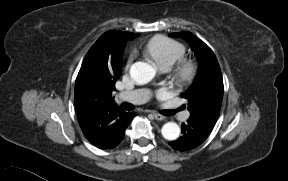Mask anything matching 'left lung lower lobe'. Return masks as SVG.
<instances>
[{
	"mask_svg": "<svg viewBox=\"0 0 288 181\" xmlns=\"http://www.w3.org/2000/svg\"><path fill=\"white\" fill-rule=\"evenodd\" d=\"M213 125L202 122L198 119L189 118L182 124L183 135L169 145L179 151H188L198 147L210 134Z\"/></svg>",
	"mask_w": 288,
	"mask_h": 181,
	"instance_id": "obj_1",
	"label": "left lung lower lobe"
}]
</instances>
